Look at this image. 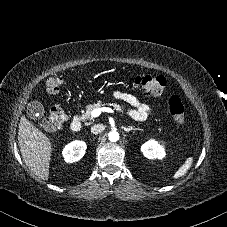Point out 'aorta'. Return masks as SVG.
<instances>
[{
  "label": "aorta",
  "instance_id": "obj_1",
  "mask_svg": "<svg viewBox=\"0 0 227 227\" xmlns=\"http://www.w3.org/2000/svg\"><path fill=\"white\" fill-rule=\"evenodd\" d=\"M108 138L111 142H117L119 140V133L117 131H111L108 134Z\"/></svg>",
  "mask_w": 227,
  "mask_h": 227
}]
</instances>
